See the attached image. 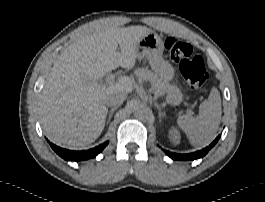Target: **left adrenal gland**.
Listing matches in <instances>:
<instances>
[{
  "label": "left adrenal gland",
  "mask_w": 265,
  "mask_h": 202,
  "mask_svg": "<svg viewBox=\"0 0 265 202\" xmlns=\"http://www.w3.org/2000/svg\"><path fill=\"white\" fill-rule=\"evenodd\" d=\"M154 105L158 109V112H159V121L161 122L162 119L165 117V113L162 111L161 106L158 103L154 102Z\"/></svg>",
  "instance_id": "left-adrenal-gland-1"
}]
</instances>
